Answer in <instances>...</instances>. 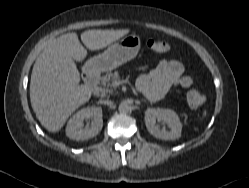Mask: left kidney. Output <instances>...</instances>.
Wrapping results in <instances>:
<instances>
[{
	"label": "left kidney",
	"instance_id": "1",
	"mask_svg": "<svg viewBox=\"0 0 249 188\" xmlns=\"http://www.w3.org/2000/svg\"><path fill=\"white\" fill-rule=\"evenodd\" d=\"M166 123L170 130L160 129L156 122ZM145 124L148 131L156 138L175 140L181 136L182 124L175 111L162 108H148L145 111Z\"/></svg>",
	"mask_w": 249,
	"mask_h": 188
}]
</instances>
